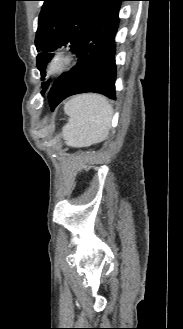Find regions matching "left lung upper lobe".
<instances>
[{"label": "left lung upper lobe", "instance_id": "obj_1", "mask_svg": "<svg viewBox=\"0 0 183 329\" xmlns=\"http://www.w3.org/2000/svg\"><path fill=\"white\" fill-rule=\"evenodd\" d=\"M35 45L37 68L41 80L45 77L47 63L53 57L54 50L69 44L76 52L78 45L91 25L118 0H42ZM50 79L43 83L42 94L48 89Z\"/></svg>", "mask_w": 183, "mask_h": 329}]
</instances>
